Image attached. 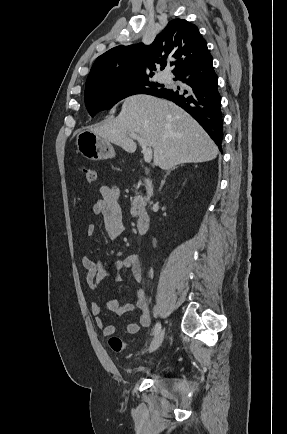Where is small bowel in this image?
<instances>
[{"mask_svg":"<svg viewBox=\"0 0 287 434\" xmlns=\"http://www.w3.org/2000/svg\"><path fill=\"white\" fill-rule=\"evenodd\" d=\"M101 198L97 200L93 207V212L103 220L104 230L108 240L118 239L125 232L122 207L119 201L118 191L115 187L102 186L100 188ZM95 225L89 224L86 228L87 236H93ZM81 264L87 271L86 281L90 289H97L103 280L113 278L116 282L120 281L118 271L121 269H130L133 280L136 284L142 282V266L139 257L132 253L122 259L116 260L110 265L103 262H97L89 257H82ZM137 308L139 310V321L130 322L126 325V333L135 335L144 327L151 324L146 294L142 288H139L135 294V302L122 303L119 298H114L104 304L95 301L90 303V310L95 316L96 325L103 330L105 336H112L116 332L114 325L106 324L101 313L104 310L123 315Z\"/></svg>","mask_w":287,"mask_h":434,"instance_id":"obj_1","label":"small bowel"}]
</instances>
